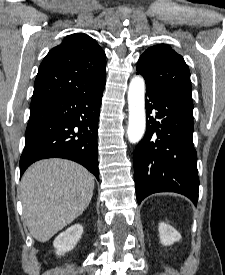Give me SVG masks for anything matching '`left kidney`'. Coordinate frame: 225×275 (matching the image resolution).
<instances>
[{
    "label": "left kidney",
    "mask_w": 225,
    "mask_h": 275,
    "mask_svg": "<svg viewBox=\"0 0 225 275\" xmlns=\"http://www.w3.org/2000/svg\"><path fill=\"white\" fill-rule=\"evenodd\" d=\"M158 230L160 242L164 246L172 245L174 242L181 240V234L177 232L172 226L165 224L164 222L159 223Z\"/></svg>",
    "instance_id": "left-kidney-1"
}]
</instances>
